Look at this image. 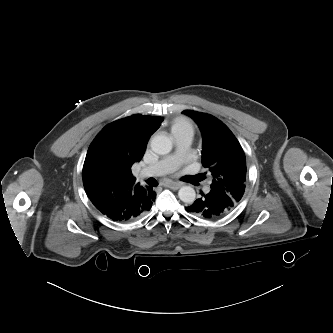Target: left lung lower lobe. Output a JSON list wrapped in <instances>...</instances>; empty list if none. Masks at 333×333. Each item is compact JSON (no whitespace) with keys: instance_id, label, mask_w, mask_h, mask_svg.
Returning <instances> with one entry per match:
<instances>
[{"instance_id":"0a47b994","label":"left lung lower lobe","mask_w":333,"mask_h":333,"mask_svg":"<svg viewBox=\"0 0 333 333\" xmlns=\"http://www.w3.org/2000/svg\"><path fill=\"white\" fill-rule=\"evenodd\" d=\"M201 195L200 198L186 207L188 212L200 218L217 220L227 215L236 207V203L226 193L210 189Z\"/></svg>"}]
</instances>
